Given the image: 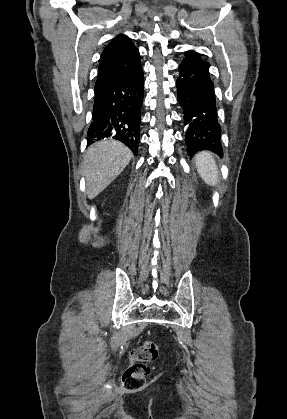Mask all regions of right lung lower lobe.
Returning a JSON list of instances; mask_svg holds the SVG:
<instances>
[{
  "instance_id": "98d812e1",
  "label": "right lung lower lobe",
  "mask_w": 287,
  "mask_h": 419,
  "mask_svg": "<svg viewBox=\"0 0 287 419\" xmlns=\"http://www.w3.org/2000/svg\"><path fill=\"white\" fill-rule=\"evenodd\" d=\"M143 87L140 65L130 75L95 89L88 145L110 137L126 144L137 155Z\"/></svg>"
}]
</instances>
